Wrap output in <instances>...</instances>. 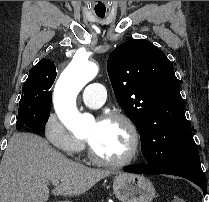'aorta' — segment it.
I'll return each instance as SVG.
<instances>
[{
	"mask_svg": "<svg viewBox=\"0 0 209 202\" xmlns=\"http://www.w3.org/2000/svg\"><path fill=\"white\" fill-rule=\"evenodd\" d=\"M97 64L76 53L60 75L54 90V106L64 126L73 134L84 133L94 122L90 114H81L76 107L80 90L98 74Z\"/></svg>",
	"mask_w": 209,
	"mask_h": 202,
	"instance_id": "1",
	"label": "aorta"
}]
</instances>
